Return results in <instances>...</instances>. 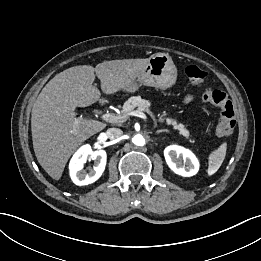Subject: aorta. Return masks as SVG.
<instances>
[{
  "mask_svg": "<svg viewBox=\"0 0 261 261\" xmlns=\"http://www.w3.org/2000/svg\"><path fill=\"white\" fill-rule=\"evenodd\" d=\"M132 142L137 146H143L145 144V139L142 135L137 134L132 138Z\"/></svg>",
  "mask_w": 261,
  "mask_h": 261,
  "instance_id": "aorta-1",
  "label": "aorta"
}]
</instances>
